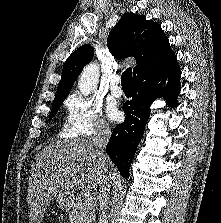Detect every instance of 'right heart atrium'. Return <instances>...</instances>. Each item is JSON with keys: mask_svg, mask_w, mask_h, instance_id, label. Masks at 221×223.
Listing matches in <instances>:
<instances>
[{"mask_svg": "<svg viewBox=\"0 0 221 223\" xmlns=\"http://www.w3.org/2000/svg\"><path fill=\"white\" fill-rule=\"evenodd\" d=\"M65 109L64 132L68 137L85 138L110 131L99 103L91 98L73 92L65 100Z\"/></svg>", "mask_w": 221, "mask_h": 223, "instance_id": "d8ad5b80", "label": "right heart atrium"}]
</instances>
